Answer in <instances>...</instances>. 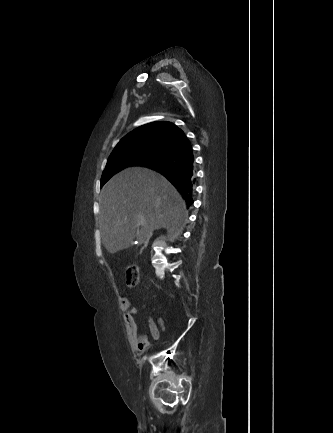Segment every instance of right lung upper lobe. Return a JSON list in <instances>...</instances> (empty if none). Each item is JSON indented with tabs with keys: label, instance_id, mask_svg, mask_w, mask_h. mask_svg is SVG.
<instances>
[{
	"label": "right lung upper lobe",
	"instance_id": "1",
	"mask_svg": "<svg viewBox=\"0 0 333 433\" xmlns=\"http://www.w3.org/2000/svg\"><path fill=\"white\" fill-rule=\"evenodd\" d=\"M189 140L185 133L171 122L157 121L145 124L126 135L115 148L126 146L161 147L176 151Z\"/></svg>",
	"mask_w": 333,
	"mask_h": 433
}]
</instances>
